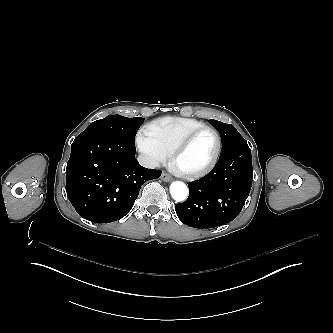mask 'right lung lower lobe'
Masks as SVG:
<instances>
[{"instance_id": "right-lung-lower-lobe-1", "label": "right lung lower lobe", "mask_w": 333, "mask_h": 333, "mask_svg": "<svg viewBox=\"0 0 333 333\" xmlns=\"http://www.w3.org/2000/svg\"><path fill=\"white\" fill-rule=\"evenodd\" d=\"M135 145L97 132L78 135L71 145L66 169L68 199L84 219L110 223L132 209L144 182L160 170L142 167Z\"/></svg>"}]
</instances>
